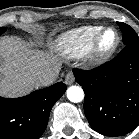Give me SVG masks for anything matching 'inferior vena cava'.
I'll list each match as a JSON object with an SVG mask.
<instances>
[{
	"label": "inferior vena cava",
	"mask_w": 139,
	"mask_h": 139,
	"mask_svg": "<svg viewBox=\"0 0 139 139\" xmlns=\"http://www.w3.org/2000/svg\"><path fill=\"white\" fill-rule=\"evenodd\" d=\"M59 75V69L42 71L35 80L36 87H47L53 84Z\"/></svg>",
	"instance_id": "obj_1"
}]
</instances>
